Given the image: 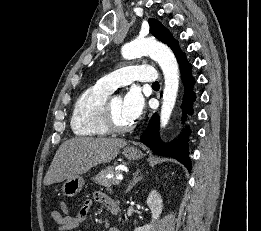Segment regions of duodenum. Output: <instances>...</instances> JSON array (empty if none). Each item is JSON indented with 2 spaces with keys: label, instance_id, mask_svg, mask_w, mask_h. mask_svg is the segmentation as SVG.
Wrapping results in <instances>:
<instances>
[{
  "label": "duodenum",
  "instance_id": "obj_1",
  "mask_svg": "<svg viewBox=\"0 0 261 231\" xmlns=\"http://www.w3.org/2000/svg\"><path fill=\"white\" fill-rule=\"evenodd\" d=\"M108 209L112 212V213H117L118 211V205L116 202H110L108 204Z\"/></svg>",
  "mask_w": 261,
  "mask_h": 231
}]
</instances>
